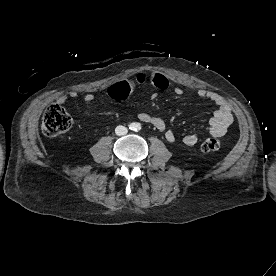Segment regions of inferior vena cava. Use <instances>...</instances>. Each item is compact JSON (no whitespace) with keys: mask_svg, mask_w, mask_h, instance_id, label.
Wrapping results in <instances>:
<instances>
[{"mask_svg":"<svg viewBox=\"0 0 276 276\" xmlns=\"http://www.w3.org/2000/svg\"><path fill=\"white\" fill-rule=\"evenodd\" d=\"M128 132V129L125 126L119 125L115 129V133L118 136L125 135Z\"/></svg>","mask_w":276,"mask_h":276,"instance_id":"602c4592","label":"inferior vena cava"}]
</instances>
